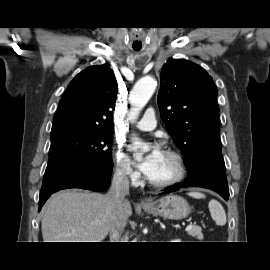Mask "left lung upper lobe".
<instances>
[{"instance_id":"5c2ea615","label":"left lung upper lobe","mask_w":270,"mask_h":270,"mask_svg":"<svg viewBox=\"0 0 270 270\" xmlns=\"http://www.w3.org/2000/svg\"><path fill=\"white\" fill-rule=\"evenodd\" d=\"M157 103L167 131L185 156L189 175L207 162H224L217 88L203 68L187 60H169L161 70Z\"/></svg>"}]
</instances>
